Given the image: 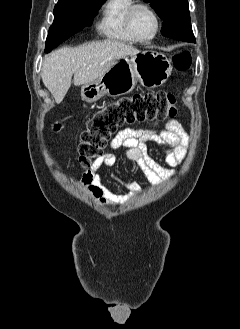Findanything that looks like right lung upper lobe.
Masks as SVG:
<instances>
[{
    "label": "right lung upper lobe",
    "instance_id": "obj_1",
    "mask_svg": "<svg viewBox=\"0 0 240 329\" xmlns=\"http://www.w3.org/2000/svg\"><path fill=\"white\" fill-rule=\"evenodd\" d=\"M70 1H78V0H58V3L70 2Z\"/></svg>",
    "mask_w": 240,
    "mask_h": 329
}]
</instances>
